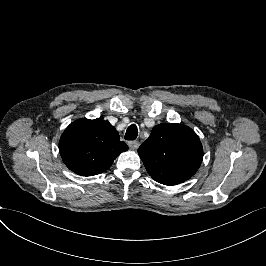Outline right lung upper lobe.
I'll return each mask as SVG.
<instances>
[{
  "label": "right lung upper lobe",
  "mask_w": 266,
  "mask_h": 266,
  "mask_svg": "<svg viewBox=\"0 0 266 266\" xmlns=\"http://www.w3.org/2000/svg\"><path fill=\"white\" fill-rule=\"evenodd\" d=\"M59 150L70 170L81 176H93L107 170L128 146L119 140V133L107 120L79 119L62 134Z\"/></svg>",
  "instance_id": "right-lung-upper-lobe-1"
}]
</instances>
